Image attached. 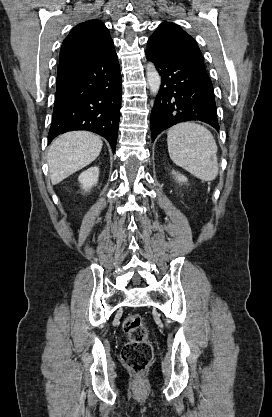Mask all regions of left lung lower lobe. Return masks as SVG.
Wrapping results in <instances>:
<instances>
[{
  "label": "left lung lower lobe",
  "mask_w": 272,
  "mask_h": 417,
  "mask_svg": "<svg viewBox=\"0 0 272 417\" xmlns=\"http://www.w3.org/2000/svg\"><path fill=\"white\" fill-rule=\"evenodd\" d=\"M161 75V87L151 112L155 140L163 130L185 121L199 120L219 130L212 82L204 63L146 50Z\"/></svg>",
  "instance_id": "obj_1"
}]
</instances>
